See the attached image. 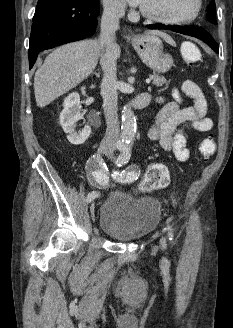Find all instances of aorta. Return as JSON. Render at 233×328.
I'll list each match as a JSON object with an SVG mask.
<instances>
[{"label":"aorta","mask_w":233,"mask_h":328,"mask_svg":"<svg viewBox=\"0 0 233 328\" xmlns=\"http://www.w3.org/2000/svg\"><path fill=\"white\" fill-rule=\"evenodd\" d=\"M121 136H120V147L125 150H130L136 135L137 123L136 117L130 106L125 105L121 115Z\"/></svg>","instance_id":"762f6f07"}]
</instances>
